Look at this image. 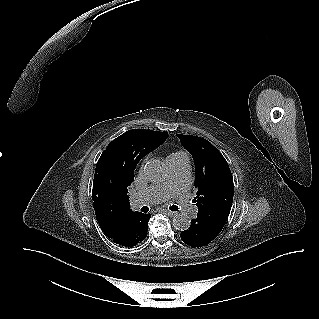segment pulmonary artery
<instances>
[{
	"label": "pulmonary artery",
	"mask_w": 319,
	"mask_h": 319,
	"mask_svg": "<svg viewBox=\"0 0 319 319\" xmlns=\"http://www.w3.org/2000/svg\"><path fill=\"white\" fill-rule=\"evenodd\" d=\"M170 176L168 181L161 186L148 187L131 197V205L133 208L152 205L159 203L172 194H178V206L184 212L194 211V206L190 204L187 198L183 195L188 186L190 176V163L187 155L168 159Z\"/></svg>",
	"instance_id": "1"
}]
</instances>
